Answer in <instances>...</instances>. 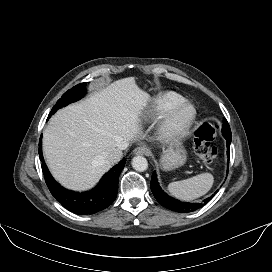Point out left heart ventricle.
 Returning a JSON list of instances; mask_svg holds the SVG:
<instances>
[{
  "instance_id": "left-heart-ventricle-1",
  "label": "left heart ventricle",
  "mask_w": 272,
  "mask_h": 272,
  "mask_svg": "<svg viewBox=\"0 0 272 272\" xmlns=\"http://www.w3.org/2000/svg\"><path fill=\"white\" fill-rule=\"evenodd\" d=\"M189 113H190V111H189L188 109L183 110V111L179 114V116H178V118H177V123L180 124V123H182L184 120H186V118L189 116Z\"/></svg>"
}]
</instances>
